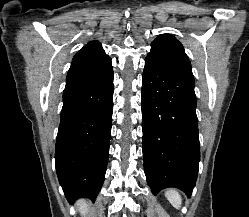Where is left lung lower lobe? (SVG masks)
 <instances>
[{
	"instance_id": "0a47b994",
	"label": "left lung lower lobe",
	"mask_w": 249,
	"mask_h": 217,
	"mask_svg": "<svg viewBox=\"0 0 249 217\" xmlns=\"http://www.w3.org/2000/svg\"><path fill=\"white\" fill-rule=\"evenodd\" d=\"M194 77L145 62L142 77L144 171L153 194L167 187L188 196L200 160Z\"/></svg>"
}]
</instances>
